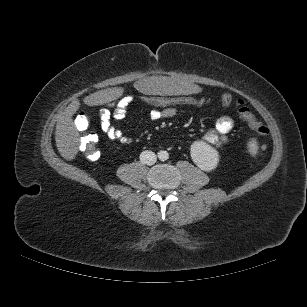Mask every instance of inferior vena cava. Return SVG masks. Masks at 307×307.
<instances>
[{
  "mask_svg": "<svg viewBox=\"0 0 307 307\" xmlns=\"http://www.w3.org/2000/svg\"><path fill=\"white\" fill-rule=\"evenodd\" d=\"M157 160V156L154 152L145 150L140 154V161L146 165H153Z\"/></svg>",
  "mask_w": 307,
  "mask_h": 307,
  "instance_id": "602c4592",
  "label": "inferior vena cava"
}]
</instances>
